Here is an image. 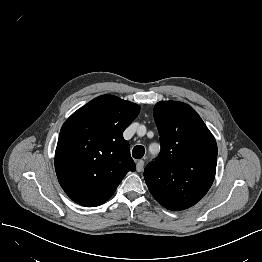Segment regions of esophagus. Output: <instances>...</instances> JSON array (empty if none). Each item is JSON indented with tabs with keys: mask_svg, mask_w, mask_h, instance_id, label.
Masks as SVG:
<instances>
[{
	"mask_svg": "<svg viewBox=\"0 0 262 262\" xmlns=\"http://www.w3.org/2000/svg\"><path fill=\"white\" fill-rule=\"evenodd\" d=\"M143 167H144V161L143 160H139L137 163H136V169L138 172H141L143 170Z\"/></svg>",
	"mask_w": 262,
	"mask_h": 262,
	"instance_id": "obj_1",
	"label": "esophagus"
}]
</instances>
